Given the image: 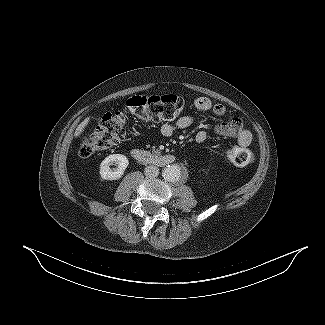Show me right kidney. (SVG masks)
Returning <instances> with one entry per match:
<instances>
[{
	"mask_svg": "<svg viewBox=\"0 0 325 325\" xmlns=\"http://www.w3.org/2000/svg\"><path fill=\"white\" fill-rule=\"evenodd\" d=\"M115 164L116 169H111L110 166ZM129 161L125 155L112 154L107 156L100 164V175L104 180H118L126 170Z\"/></svg>",
	"mask_w": 325,
	"mask_h": 325,
	"instance_id": "ca27d5eb",
	"label": "right kidney"
}]
</instances>
